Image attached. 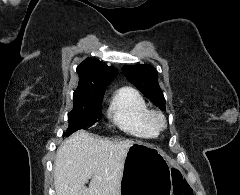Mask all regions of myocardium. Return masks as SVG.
Segmentation results:
<instances>
[{
  "mask_svg": "<svg viewBox=\"0 0 240 195\" xmlns=\"http://www.w3.org/2000/svg\"><path fill=\"white\" fill-rule=\"evenodd\" d=\"M150 122L158 130L164 128L166 125L165 118L159 111H150Z\"/></svg>",
  "mask_w": 240,
  "mask_h": 195,
  "instance_id": "f54148a6",
  "label": "myocardium"
}]
</instances>
